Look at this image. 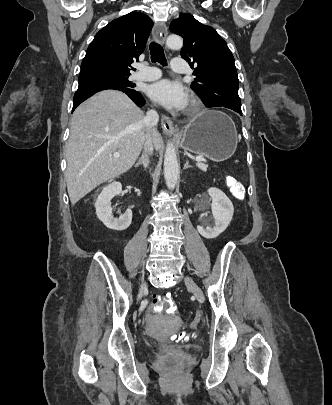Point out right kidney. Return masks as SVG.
Segmentation results:
<instances>
[{"instance_id":"1","label":"right kidney","mask_w":332,"mask_h":405,"mask_svg":"<svg viewBox=\"0 0 332 405\" xmlns=\"http://www.w3.org/2000/svg\"><path fill=\"white\" fill-rule=\"evenodd\" d=\"M121 192V183L112 182L102 190L95 203L98 219L103 222L107 228L116 231L126 230L132 222V211L129 208L118 219L113 216L111 200L115 195L120 194Z\"/></svg>"}]
</instances>
